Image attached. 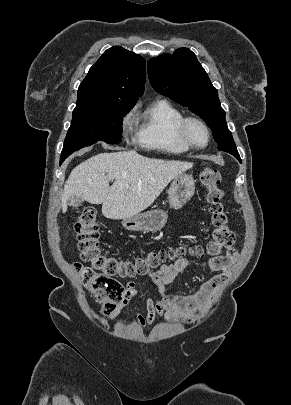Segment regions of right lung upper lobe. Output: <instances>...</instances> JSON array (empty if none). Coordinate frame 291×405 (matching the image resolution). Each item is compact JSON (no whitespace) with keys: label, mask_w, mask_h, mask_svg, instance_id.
<instances>
[{"label":"right lung upper lobe","mask_w":291,"mask_h":405,"mask_svg":"<svg viewBox=\"0 0 291 405\" xmlns=\"http://www.w3.org/2000/svg\"><path fill=\"white\" fill-rule=\"evenodd\" d=\"M145 60L120 46L104 52L78 89L77 105L117 104L133 107L144 91Z\"/></svg>","instance_id":"right-lung-upper-lobe-1"}]
</instances>
